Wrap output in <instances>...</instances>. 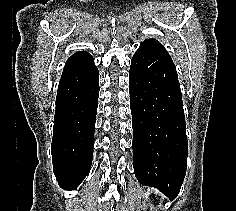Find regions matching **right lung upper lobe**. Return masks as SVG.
Returning a JSON list of instances; mask_svg holds the SVG:
<instances>
[{
	"instance_id": "1",
	"label": "right lung upper lobe",
	"mask_w": 236,
	"mask_h": 211,
	"mask_svg": "<svg viewBox=\"0 0 236 211\" xmlns=\"http://www.w3.org/2000/svg\"><path fill=\"white\" fill-rule=\"evenodd\" d=\"M94 67L93 57L86 51H79L72 55L65 63L62 77L83 73Z\"/></svg>"
}]
</instances>
